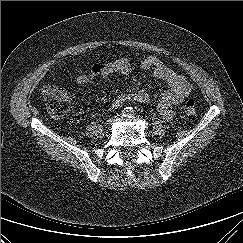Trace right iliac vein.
Returning <instances> with one entry per match:
<instances>
[{"instance_id":"right-iliac-vein-1","label":"right iliac vein","mask_w":243,"mask_h":243,"mask_svg":"<svg viewBox=\"0 0 243 243\" xmlns=\"http://www.w3.org/2000/svg\"><path fill=\"white\" fill-rule=\"evenodd\" d=\"M115 122V118H110L109 120H107V125H111V124H113Z\"/></svg>"}]
</instances>
